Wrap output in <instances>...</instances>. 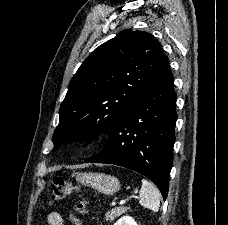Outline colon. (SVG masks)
<instances>
[{
    "mask_svg": "<svg viewBox=\"0 0 228 225\" xmlns=\"http://www.w3.org/2000/svg\"><path fill=\"white\" fill-rule=\"evenodd\" d=\"M76 191H78V189L72 182L64 178L55 177L51 179L48 200L49 202L60 201L71 196ZM72 212L73 214L81 215L89 214L82 202L75 204L72 208Z\"/></svg>",
    "mask_w": 228,
    "mask_h": 225,
    "instance_id": "colon-1",
    "label": "colon"
}]
</instances>
